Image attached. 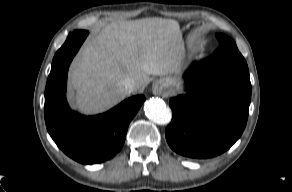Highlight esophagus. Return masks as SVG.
I'll use <instances>...</instances> for the list:
<instances>
[{
    "instance_id": "1",
    "label": "esophagus",
    "mask_w": 292,
    "mask_h": 192,
    "mask_svg": "<svg viewBox=\"0 0 292 192\" xmlns=\"http://www.w3.org/2000/svg\"><path fill=\"white\" fill-rule=\"evenodd\" d=\"M165 84L162 80H158L153 84V93L154 94H161L163 91Z\"/></svg>"
}]
</instances>
